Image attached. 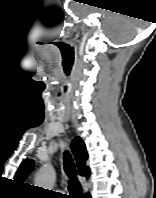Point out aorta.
<instances>
[{
	"mask_svg": "<svg viewBox=\"0 0 156 198\" xmlns=\"http://www.w3.org/2000/svg\"><path fill=\"white\" fill-rule=\"evenodd\" d=\"M55 180L56 172L54 168L51 165L46 164L37 173L35 186L50 190L53 187Z\"/></svg>",
	"mask_w": 156,
	"mask_h": 198,
	"instance_id": "obj_1",
	"label": "aorta"
}]
</instances>
